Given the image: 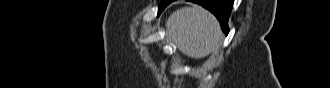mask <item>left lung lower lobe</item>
Instances as JSON below:
<instances>
[{"mask_svg":"<svg viewBox=\"0 0 330 88\" xmlns=\"http://www.w3.org/2000/svg\"><path fill=\"white\" fill-rule=\"evenodd\" d=\"M174 0H161L158 9V15L165 9L167 5H169ZM190 2L197 3L211 13H213L220 22L222 30L227 35L229 32L228 29V18L231 13V9L233 7L234 0H187Z\"/></svg>","mask_w":330,"mask_h":88,"instance_id":"1","label":"left lung lower lobe"}]
</instances>
